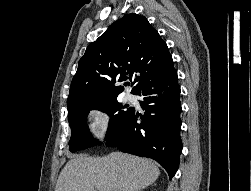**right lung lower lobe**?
Segmentation results:
<instances>
[{
  "instance_id": "right-lung-lower-lobe-1",
  "label": "right lung lower lobe",
  "mask_w": 251,
  "mask_h": 191,
  "mask_svg": "<svg viewBox=\"0 0 251 191\" xmlns=\"http://www.w3.org/2000/svg\"><path fill=\"white\" fill-rule=\"evenodd\" d=\"M137 95L143 98L140 104L145 110L144 115H140L141 123H137L138 114L133 108L127 121L106 138V145L153 158L172 179L182 151L179 135L182 108L177 72L158 85L142 89Z\"/></svg>"
}]
</instances>
